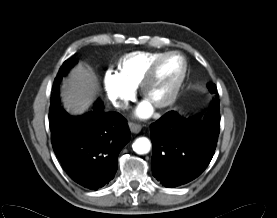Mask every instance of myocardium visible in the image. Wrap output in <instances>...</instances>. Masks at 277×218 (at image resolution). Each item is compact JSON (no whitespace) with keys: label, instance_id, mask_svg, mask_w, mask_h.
<instances>
[{"label":"myocardium","instance_id":"myocardium-1","mask_svg":"<svg viewBox=\"0 0 277 218\" xmlns=\"http://www.w3.org/2000/svg\"><path fill=\"white\" fill-rule=\"evenodd\" d=\"M169 56H177L181 59L182 61V71L181 74L179 76V78L177 79V81L175 82V84L173 85V87L171 88L169 94L167 95L166 98H164L163 100L157 102L154 104V106L156 108H165L169 105H171L175 99L177 98V95L183 85V82L186 78L187 75V71H188V62L187 59L185 58L184 55H182L180 52L178 51H167L162 53L161 55H159L158 57H156L149 65V67L147 68L140 84H139V88H140V93L142 95L143 98L147 97V89L149 87V85L151 84V82L153 81L157 68L159 66V64L167 57Z\"/></svg>","mask_w":277,"mask_h":218}]
</instances>
